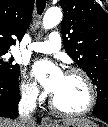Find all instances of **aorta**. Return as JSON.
<instances>
[{"label": "aorta", "mask_w": 108, "mask_h": 127, "mask_svg": "<svg viewBox=\"0 0 108 127\" xmlns=\"http://www.w3.org/2000/svg\"><path fill=\"white\" fill-rule=\"evenodd\" d=\"M62 20V11L58 7L49 8L43 18V27L45 29H51L57 26Z\"/></svg>", "instance_id": "aorta-1"}]
</instances>
